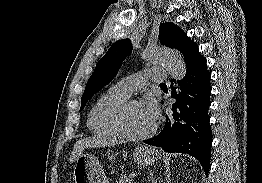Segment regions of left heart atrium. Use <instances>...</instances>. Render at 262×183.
<instances>
[{"instance_id": "left-heart-atrium-1", "label": "left heart atrium", "mask_w": 262, "mask_h": 183, "mask_svg": "<svg viewBox=\"0 0 262 183\" xmlns=\"http://www.w3.org/2000/svg\"><path fill=\"white\" fill-rule=\"evenodd\" d=\"M141 106H142L144 113L149 118V120L152 123H155L157 118H158V106H157V104L153 100L148 99Z\"/></svg>"}]
</instances>
